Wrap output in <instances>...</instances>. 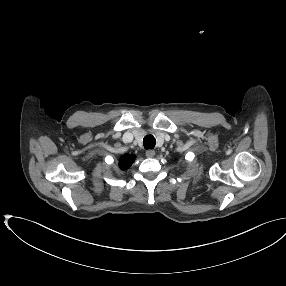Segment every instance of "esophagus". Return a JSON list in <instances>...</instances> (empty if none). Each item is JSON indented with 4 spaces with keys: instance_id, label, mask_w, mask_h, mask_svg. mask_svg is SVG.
<instances>
[{
    "instance_id": "34e87169",
    "label": "esophagus",
    "mask_w": 286,
    "mask_h": 286,
    "mask_svg": "<svg viewBox=\"0 0 286 286\" xmlns=\"http://www.w3.org/2000/svg\"><path fill=\"white\" fill-rule=\"evenodd\" d=\"M146 156L148 157V158H152V157H154L155 156V151L154 150H147L146 151Z\"/></svg>"
}]
</instances>
